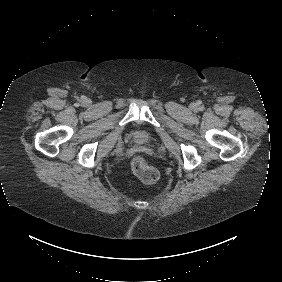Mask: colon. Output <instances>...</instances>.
I'll return each mask as SVG.
<instances>
[{
    "label": "colon",
    "mask_w": 282,
    "mask_h": 282,
    "mask_svg": "<svg viewBox=\"0 0 282 282\" xmlns=\"http://www.w3.org/2000/svg\"><path fill=\"white\" fill-rule=\"evenodd\" d=\"M134 173L145 183H154L157 180V171L147 165L146 159L141 155L134 156L130 161Z\"/></svg>",
    "instance_id": "5ec220e1"
}]
</instances>
